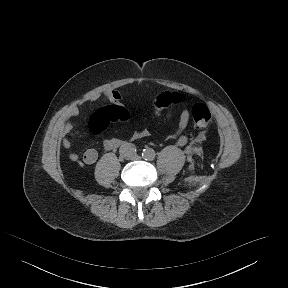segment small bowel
Instances as JSON below:
<instances>
[{
	"mask_svg": "<svg viewBox=\"0 0 288 288\" xmlns=\"http://www.w3.org/2000/svg\"><path fill=\"white\" fill-rule=\"evenodd\" d=\"M117 146V141L116 140H107L104 143V147L107 150H111ZM98 154L97 151L94 149H88L83 156V160L86 164H93L97 160Z\"/></svg>",
	"mask_w": 288,
	"mask_h": 288,
	"instance_id": "obj_1",
	"label": "small bowel"
}]
</instances>
